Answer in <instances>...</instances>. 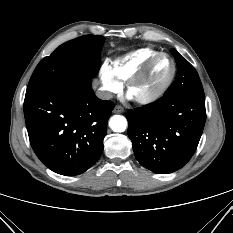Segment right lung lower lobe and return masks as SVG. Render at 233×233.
Masks as SVG:
<instances>
[{"label": "right lung lower lobe", "mask_w": 233, "mask_h": 233, "mask_svg": "<svg viewBox=\"0 0 233 233\" xmlns=\"http://www.w3.org/2000/svg\"><path fill=\"white\" fill-rule=\"evenodd\" d=\"M92 78L58 83L24 100L30 144L52 171L66 176L89 169L103 151L112 101L98 99Z\"/></svg>", "instance_id": "right-lung-lower-lobe-1"}]
</instances>
